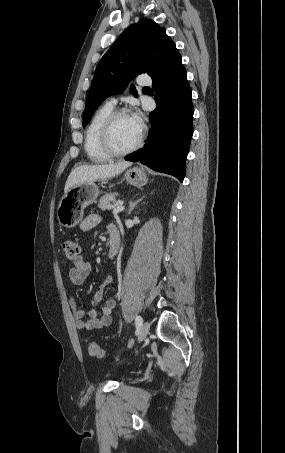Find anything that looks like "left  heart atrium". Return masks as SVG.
Returning <instances> with one entry per match:
<instances>
[{
  "label": "left heart atrium",
  "instance_id": "39dd6f15",
  "mask_svg": "<svg viewBox=\"0 0 285 453\" xmlns=\"http://www.w3.org/2000/svg\"><path fill=\"white\" fill-rule=\"evenodd\" d=\"M133 120L136 122V124L142 128L143 126V120L142 117L139 113H135L132 115Z\"/></svg>",
  "mask_w": 285,
  "mask_h": 453
}]
</instances>
